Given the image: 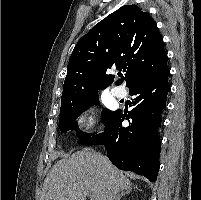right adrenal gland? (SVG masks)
<instances>
[{
  "instance_id": "obj_1",
  "label": "right adrenal gland",
  "mask_w": 201,
  "mask_h": 200,
  "mask_svg": "<svg viewBox=\"0 0 201 200\" xmlns=\"http://www.w3.org/2000/svg\"><path fill=\"white\" fill-rule=\"evenodd\" d=\"M131 189L125 190L117 195L115 200H120L126 193H129Z\"/></svg>"
}]
</instances>
